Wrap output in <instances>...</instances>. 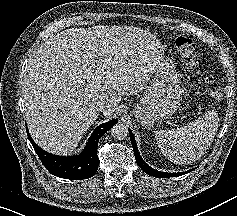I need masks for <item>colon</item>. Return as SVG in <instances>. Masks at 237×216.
I'll return each instance as SVG.
<instances>
[{"instance_id":"5ec220e1","label":"colon","mask_w":237,"mask_h":216,"mask_svg":"<svg viewBox=\"0 0 237 216\" xmlns=\"http://www.w3.org/2000/svg\"><path fill=\"white\" fill-rule=\"evenodd\" d=\"M175 47L183 63L187 66H193L195 63V44L192 39L185 36H178L175 40ZM216 97L220 96L219 87L215 91Z\"/></svg>"}]
</instances>
